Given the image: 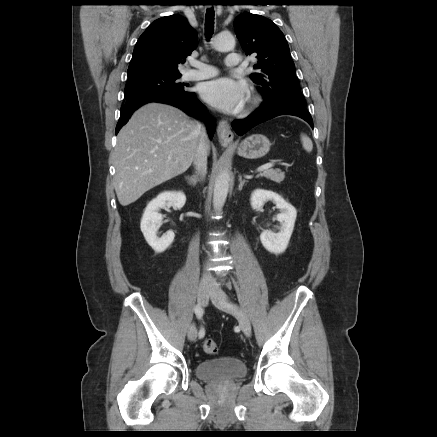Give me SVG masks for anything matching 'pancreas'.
<instances>
[{
	"label": "pancreas",
	"mask_w": 437,
	"mask_h": 437,
	"mask_svg": "<svg viewBox=\"0 0 437 437\" xmlns=\"http://www.w3.org/2000/svg\"><path fill=\"white\" fill-rule=\"evenodd\" d=\"M261 177H265L267 179H270L276 183H281L284 178H285V174L284 172H282L280 169H267L264 170L262 173H260Z\"/></svg>",
	"instance_id": "1"
}]
</instances>
